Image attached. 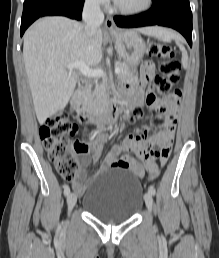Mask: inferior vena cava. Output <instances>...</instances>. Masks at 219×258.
<instances>
[{
	"label": "inferior vena cava",
	"instance_id": "obj_1",
	"mask_svg": "<svg viewBox=\"0 0 219 258\" xmlns=\"http://www.w3.org/2000/svg\"><path fill=\"white\" fill-rule=\"evenodd\" d=\"M84 31L93 38L104 21V14L100 9L99 0H86L83 8Z\"/></svg>",
	"mask_w": 219,
	"mask_h": 258
}]
</instances>
